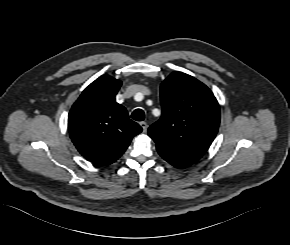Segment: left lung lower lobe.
Here are the masks:
<instances>
[{"instance_id": "0a47b994", "label": "left lung lower lobe", "mask_w": 290, "mask_h": 245, "mask_svg": "<svg viewBox=\"0 0 290 245\" xmlns=\"http://www.w3.org/2000/svg\"><path fill=\"white\" fill-rule=\"evenodd\" d=\"M157 151L164 160H166L167 162H169L170 164H172L173 166H175L177 168H185V167H188L191 165V163L176 159V158L166 154L165 152H163L159 148H157Z\"/></svg>"}]
</instances>
